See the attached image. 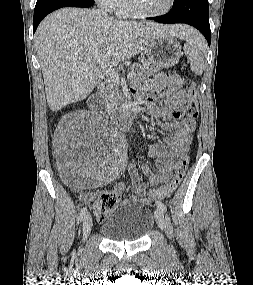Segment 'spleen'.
Returning <instances> with one entry per match:
<instances>
[{"label":"spleen","mask_w":253,"mask_h":285,"mask_svg":"<svg viewBox=\"0 0 253 285\" xmlns=\"http://www.w3.org/2000/svg\"><path fill=\"white\" fill-rule=\"evenodd\" d=\"M183 39L186 41L184 53L190 62V69L195 75L200 76L205 68L203 51L207 48L206 41L192 28L184 34Z\"/></svg>","instance_id":"1"}]
</instances>
